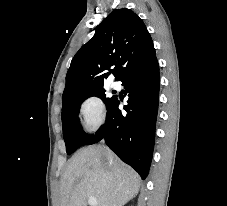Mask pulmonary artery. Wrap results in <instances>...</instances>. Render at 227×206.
Listing matches in <instances>:
<instances>
[{"mask_svg": "<svg viewBox=\"0 0 227 206\" xmlns=\"http://www.w3.org/2000/svg\"><path fill=\"white\" fill-rule=\"evenodd\" d=\"M113 89H119L120 88V83L117 81H113L111 84Z\"/></svg>", "mask_w": 227, "mask_h": 206, "instance_id": "obj_1", "label": "pulmonary artery"}]
</instances>
